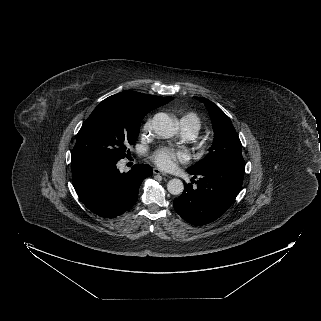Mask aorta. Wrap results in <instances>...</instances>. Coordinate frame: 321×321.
Instances as JSON below:
<instances>
[{
    "label": "aorta",
    "instance_id": "1",
    "mask_svg": "<svg viewBox=\"0 0 321 321\" xmlns=\"http://www.w3.org/2000/svg\"><path fill=\"white\" fill-rule=\"evenodd\" d=\"M154 132L162 138H171L177 133V127L173 120L165 113H157L152 120ZM167 190L172 195H179L184 190L183 182L180 179H171L167 184Z\"/></svg>",
    "mask_w": 321,
    "mask_h": 321
}]
</instances>
